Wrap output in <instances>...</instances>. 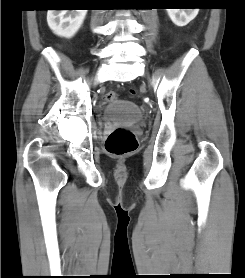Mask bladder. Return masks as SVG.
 <instances>
[{"mask_svg": "<svg viewBox=\"0 0 245 278\" xmlns=\"http://www.w3.org/2000/svg\"><path fill=\"white\" fill-rule=\"evenodd\" d=\"M142 120L140 109L132 102L115 99L110 101L103 112L105 123L135 126Z\"/></svg>", "mask_w": 245, "mask_h": 278, "instance_id": "1", "label": "bladder"}]
</instances>
